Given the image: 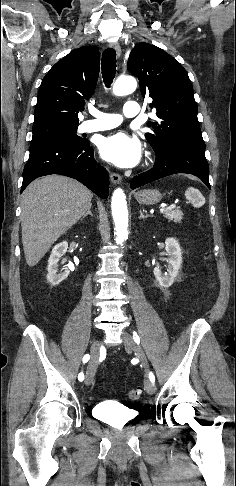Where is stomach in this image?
<instances>
[{
    "label": "stomach",
    "instance_id": "0dacf381",
    "mask_svg": "<svg viewBox=\"0 0 236 486\" xmlns=\"http://www.w3.org/2000/svg\"><path fill=\"white\" fill-rule=\"evenodd\" d=\"M136 200L143 205H154L160 202L162 195L155 189H144L135 194Z\"/></svg>",
    "mask_w": 236,
    "mask_h": 486
}]
</instances>
